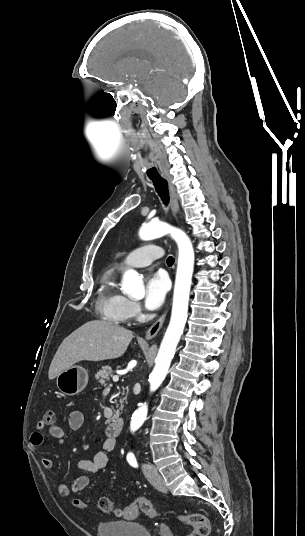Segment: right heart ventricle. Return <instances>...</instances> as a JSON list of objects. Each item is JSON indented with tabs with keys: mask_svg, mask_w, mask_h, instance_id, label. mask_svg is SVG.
<instances>
[{
	"mask_svg": "<svg viewBox=\"0 0 305 536\" xmlns=\"http://www.w3.org/2000/svg\"><path fill=\"white\" fill-rule=\"evenodd\" d=\"M115 281L116 275L112 271L102 275L97 304L107 320L123 325L129 319L125 309L128 300L118 291Z\"/></svg>",
	"mask_w": 305,
	"mask_h": 536,
	"instance_id": "e07e8e85",
	"label": "right heart ventricle"
}]
</instances>
